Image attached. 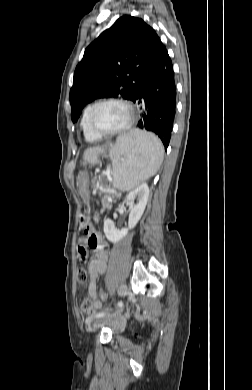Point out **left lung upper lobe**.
<instances>
[{"mask_svg": "<svg viewBox=\"0 0 252 390\" xmlns=\"http://www.w3.org/2000/svg\"><path fill=\"white\" fill-rule=\"evenodd\" d=\"M163 44L142 19L125 15L92 42L77 65L70 90L72 121L97 98L134 101L138 84Z\"/></svg>", "mask_w": 252, "mask_h": 390, "instance_id": "5c2ea615", "label": "left lung upper lobe"}]
</instances>
